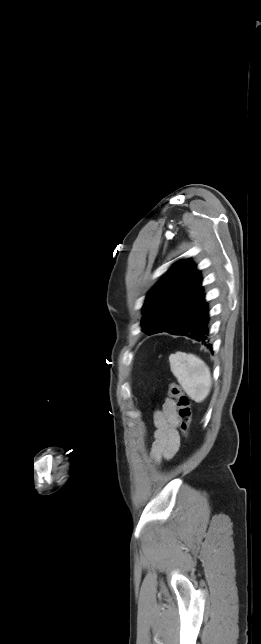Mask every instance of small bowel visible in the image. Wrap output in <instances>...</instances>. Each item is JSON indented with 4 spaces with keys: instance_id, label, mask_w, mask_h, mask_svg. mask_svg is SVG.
I'll return each instance as SVG.
<instances>
[{
    "instance_id": "1",
    "label": "small bowel",
    "mask_w": 261,
    "mask_h": 644,
    "mask_svg": "<svg viewBox=\"0 0 261 644\" xmlns=\"http://www.w3.org/2000/svg\"><path fill=\"white\" fill-rule=\"evenodd\" d=\"M155 430L154 441L150 450L153 462L171 459L179 449L178 417L175 402L166 398L162 407L153 414Z\"/></svg>"
}]
</instances>
